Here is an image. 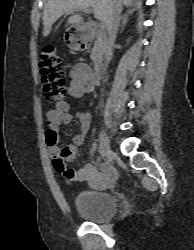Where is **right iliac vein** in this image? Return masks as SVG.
I'll use <instances>...</instances> for the list:
<instances>
[{
    "label": "right iliac vein",
    "instance_id": "right-iliac-vein-1",
    "mask_svg": "<svg viewBox=\"0 0 194 250\" xmlns=\"http://www.w3.org/2000/svg\"><path fill=\"white\" fill-rule=\"evenodd\" d=\"M100 153L103 158L111 155L109 138L104 130L100 134Z\"/></svg>",
    "mask_w": 194,
    "mask_h": 250
}]
</instances>
